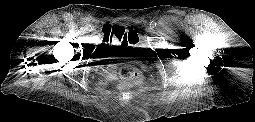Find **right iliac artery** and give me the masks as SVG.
Listing matches in <instances>:
<instances>
[{"mask_svg": "<svg viewBox=\"0 0 255 122\" xmlns=\"http://www.w3.org/2000/svg\"><path fill=\"white\" fill-rule=\"evenodd\" d=\"M92 27H91V25H89V24H87L86 26H85V29L86 30H90Z\"/></svg>", "mask_w": 255, "mask_h": 122, "instance_id": "82829eb1", "label": "right iliac artery"}]
</instances>
